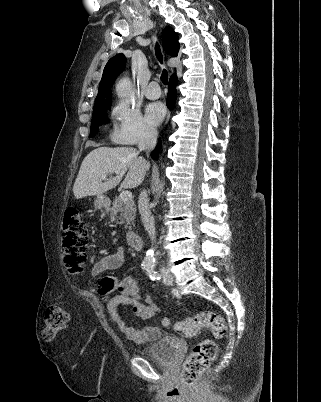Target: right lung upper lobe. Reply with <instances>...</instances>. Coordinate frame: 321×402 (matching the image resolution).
Segmentation results:
<instances>
[{
	"label": "right lung upper lobe",
	"mask_w": 321,
	"mask_h": 402,
	"mask_svg": "<svg viewBox=\"0 0 321 402\" xmlns=\"http://www.w3.org/2000/svg\"><path fill=\"white\" fill-rule=\"evenodd\" d=\"M162 40L165 51L171 56H177L180 45L178 36L171 27H166L163 30ZM125 63L126 57L123 54H117L107 62L99 84L94 108L111 104V87L115 79L122 72Z\"/></svg>",
	"instance_id": "1"
}]
</instances>
